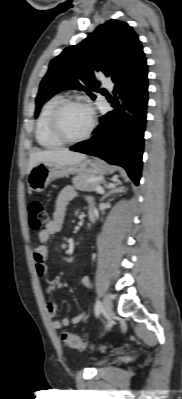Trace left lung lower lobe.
<instances>
[{"mask_svg": "<svg viewBox=\"0 0 182 399\" xmlns=\"http://www.w3.org/2000/svg\"><path fill=\"white\" fill-rule=\"evenodd\" d=\"M146 61L114 87V110L100 117L93 138L76 144L70 150L99 157L127 171L135 185L142 170L144 131L148 102Z\"/></svg>", "mask_w": 182, "mask_h": 399, "instance_id": "0a47b994", "label": "left lung lower lobe"}]
</instances>
